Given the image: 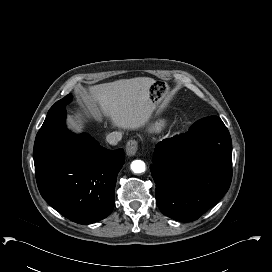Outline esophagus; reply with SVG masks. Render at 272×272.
Masks as SVG:
<instances>
[{"instance_id": "esophagus-1", "label": "esophagus", "mask_w": 272, "mask_h": 272, "mask_svg": "<svg viewBox=\"0 0 272 272\" xmlns=\"http://www.w3.org/2000/svg\"><path fill=\"white\" fill-rule=\"evenodd\" d=\"M126 153L128 156H133L138 150V142L136 140H129L126 144Z\"/></svg>"}]
</instances>
